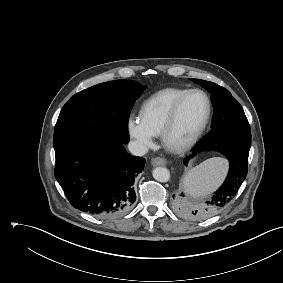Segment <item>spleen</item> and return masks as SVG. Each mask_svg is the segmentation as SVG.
I'll return each instance as SVG.
<instances>
[{
	"label": "spleen",
	"mask_w": 283,
	"mask_h": 283,
	"mask_svg": "<svg viewBox=\"0 0 283 283\" xmlns=\"http://www.w3.org/2000/svg\"><path fill=\"white\" fill-rule=\"evenodd\" d=\"M226 171L222 158H211L193 168L183 179V188L191 196H204L215 190Z\"/></svg>",
	"instance_id": "3e777b00"
}]
</instances>
